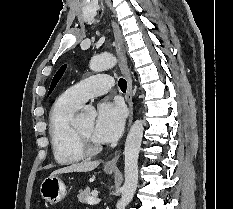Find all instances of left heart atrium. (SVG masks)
<instances>
[{"label": "left heart atrium", "instance_id": "1", "mask_svg": "<svg viewBox=\"0 0 233 209\" xmlns=\"http://www.w3.org/2000/svg\"><path fill=\"white\" fill-rule=\"evenodd\" d=\"M124 109L119 104L102 102L98 107L93 137L100 143L114 141L120 135L124 125Z\"/></svg>", "mask_w": 233, "mask_h": 209}]
</instances>
